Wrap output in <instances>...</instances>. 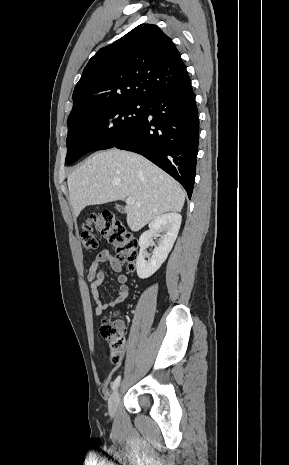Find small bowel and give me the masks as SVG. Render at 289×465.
I'll return each instance as SVG.
<instances>
[{
  "label": "small bowel",
  "mask_w": 289,
  "mask_h": 465,
  "mask_svg": "<svg viewBox=\"0 0 289 465\" xmlns=\"http://www.w3.org/2000/svg\"><path fill=\"white\" fill-rule=\"evenodd\" d=\"M107 263L112 271L120 273L117 277V281L120 284L115 299L111 301H103L100 295V286L106 280V274L103 270L99 269L100 265ZM122 266L118 259L114 258L108 250L100 251L92 260L89 271L88 281L90 282V293L96 302L95 315L100 316L102 312L109 307H114L117 304L123 302L129 295V287L127 285L128 277L121 273ZM119 326L123 327V322H118ZM120 361V360H119ZM119 361L113 362L114 364Z\"/></svg>",
  "instance_id": "1"
}]
</instances>
